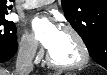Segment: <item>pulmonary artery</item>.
Segmentation results:
<instances>
[{"instance_id": "1", "label": "pulmonary artery", "mask_w": 107, "mask_h": 75, "mask_svg": "<svg viewBox=\"0 0 107 75\" xmlns=\"http://www.w3.org/2000/svg\"><path fill=\"white\" fill-rule=\"evenodd\" d=\"M53 2V0H27L24 3V8L33 9Z\"/></svg>"}]
</instances>
